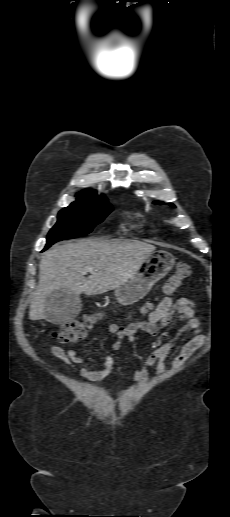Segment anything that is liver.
<instances>
[{
	"label": "liver",
	"instance_id": "6515ba94",
	"mask_svg": "<svg viewBox=\"0 0 230 517\" xmlns=\"http://www.w3.org/2000/svg\"><path fill=\"white\" fill-rule=\"evenodd\" d=\"M154 250L155 246L139 241L93 239L54 246L40 260L29 319H46L44 304L54 291L96 295L124 285ZM85 267L92 269L88 278L82 274Z\"/></svg>",
	"mask_w": 230,
	"mask_h": 517
}]
</instances>
